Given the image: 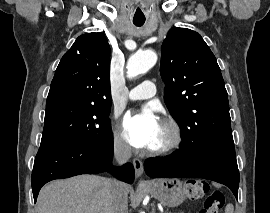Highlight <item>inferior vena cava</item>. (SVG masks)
Returning <instances> with one entry per match:
<instances>
[{"label":"inferior vena cava","mask_w":270,"mask_h":213,"mask_svg":"<svg viewBox=\"0 0 270 213\" xmlns=\"http://www.w3.org/2000/svg\"><path fill=\"white\" fill-rule=\"evenodd\" d=\"M114 157L119 165L127 162L131 157L130 146L125 142L115 143ZM111 189V213H128V199L124 184L117 180H111Z\"/></svg>","instance_id":"inferior-vena-cava-1"}]
</instances>
